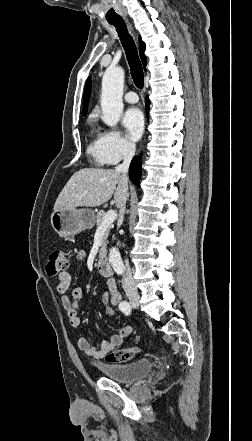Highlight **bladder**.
Listing matches in <instances>:
<instances>
[{
	"instance_id": "bladder-1",
	"label": "bladder",
	"mask_w": 252,
	"mask_h": 441,
	"mask_svg": "<svg viewBox=\"0 0 252 441\" xmlns=\"http://www.w3.org/2000/svg\"><path fill=\"white\" fill-rule=\"evenodd\" d=\"M96 367L109 379L132 383L146 377L152 370V362L143 358L131 363H97Z\"/></svg>"
}]
</instances>
